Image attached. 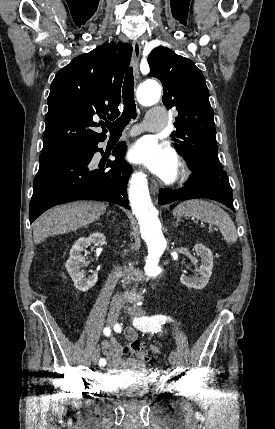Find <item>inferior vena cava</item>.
Returning a JSON list of instances; mask_svg holds the SVG:
<instances>
[{"instance_id": "1", "label": "inferior vena cava", "mask_w": 275, "mask_h": 429, "mask_svg": "<svg viewBox=\"0 0 275 429\" xmlns=\"http://www.w3.org/2000/svg\"><path fill=\"white\" fill-rule=\"evenodd\" d=\"M112 303L116 304V305H121L124 303L122 297L119 294H116L113 299H112Z\"/></svg>"}]
</instances>
